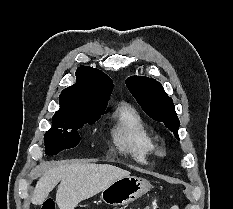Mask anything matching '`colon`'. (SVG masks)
I'll return each instance as SVG.
<instances>
[{
  "label": "colon",
  "mask_w": 233,
  "mask_h": 209,
  "mask_svg": "<svg viewBox=\"0 0 233 209\" xmlns=\"http://www.w3.org/2000/svg\"><path fill=\"white\" fill-rule=\"evenodd\" d=\"M40 209H56V204L53 200H46L41 205ZM146 209H160L158 201L154 200L147 206Z\"/></svg>",
  "instance_id": "1"
}]
</instances>
